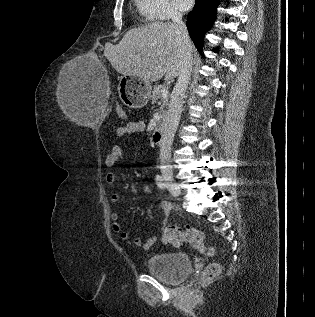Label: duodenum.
I'll return each instance as SVG.
<instances>
[{
    "instance_id": "duodenum-1",
    "label": "duodenum",
    "mask_w": 315,
    "mask_h": 317,
    "mask_svg": "<svg viewBox=\"0 0 315 317\" xmlns=\"http://www.w3.org/2000/svg\"><path fill=\"white\" fill-rule=\"evenodd\" d=\"M165 131L162 125H158L153 132V140L156 144L161 145L164 142Z\"/></svg>"
}]
</instances>
